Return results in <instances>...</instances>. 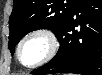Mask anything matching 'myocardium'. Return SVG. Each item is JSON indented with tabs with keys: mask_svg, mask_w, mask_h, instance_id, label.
Masks as SVG:
<instances>
[{
	"mask_svg": "<svg viewBox=\"0 0 102 75\" xmlns=\"http://www.w3.org/2000/svg\"><path fill=\"white\" fill-rule=\"evenodd\" d=\"M34 36H43L48 42V50L47 53L36 63L34 64H25L22 59V50L25 43ZM60 47V40L57 34L49 28H37L35 30L30 31L26 34L20 41L17 49V55L19 61L27 66V67H36L38 65L44 64L50 61L58 52Z\"/></svg>",
	"mask_w": 102,
	"mask_h": 75,
	"instance_id": "1",
	"label": "myocardium"
}]
</instances>
